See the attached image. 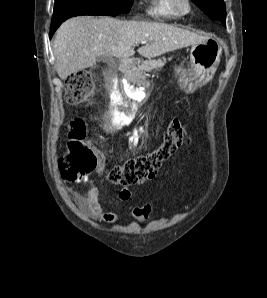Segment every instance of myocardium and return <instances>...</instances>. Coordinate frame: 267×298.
Returning <instances> with one entry per match:
<instances>
[{
    "instance_id": "obj_1",
    "label": "myocardium",
    "mask_w": 267,
    "mask_h": 298,
    "mask_svg": "<svg viewBox=\"0 0 267 298\" xmlns=\"http://www.w3.org/2000/svg\"><path fill=\"white\" fill-rule=\"evenodd\" d=\"M171 4L180 15L188 14L192 10L191 0H171Z\"/></svg>"
}]
</instances>
